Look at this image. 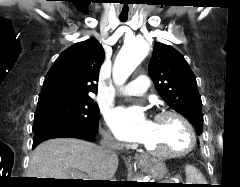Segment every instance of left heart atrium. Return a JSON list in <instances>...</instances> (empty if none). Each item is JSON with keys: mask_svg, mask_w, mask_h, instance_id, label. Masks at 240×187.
Returning a JSON list of instances; mask_svg holds the SVG:
<instances>
[{"mask_svg": "<svg viewBox=\"0 0 240 187\" xmlns=\"http://www.w3.org/2000/svg\"><path fill=\"white\" fill-rule=\"evenodd\" d=\"M108 122L120 139L144 144L149 141L154 126L152 121L134 122L123 109L112 111Z\"/></svg>", "mask_w": 240, "mask_h": 187, "instance_id": "left-heart-atrium-1", "label": "left heart atrium"}]
</instances>
